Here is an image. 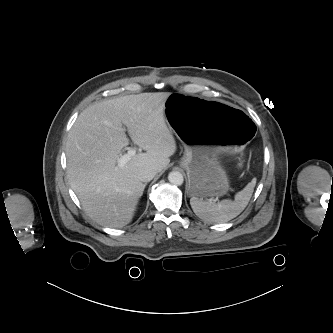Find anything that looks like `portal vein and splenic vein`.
<instances>
[{
	"label": "portal vein and splenic vein",
	"mask_w": 333,
	"mask_h": 333,
	"mask_svg": "<svg viewBox=\"0 0 333 333\" xmlns=\"http://www.w3.org/2000/svg\"><path fill=\"white\" fill-rule=\"evenodd\" d=\"M136 154L135 149H130L127 153L118 158L117 163L119 166H124Z\"/></svg>",
	"instance_id": "1"
}]
</instances>
